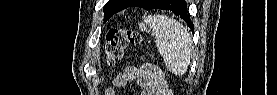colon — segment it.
Segmentation results:
<instances>
[{
	"label": "colon",
	"mask_w": 277,
	"mask_h": 95,
	"mask_svg": "<svg viewBox=\"0 0 277 95\" xmlns=\"http://www.w3.org/2000/svg\"><path fill=\"white\" fill-rule=\"evenodd\" d=\"M141 40V36L132 30L109 29L105 35L107 63L113 65L122 59L125 50L132 45L139 44Z\"/></svg>",
	"instance_id": "obj_1"
}]
</instances>
